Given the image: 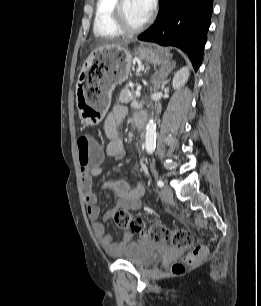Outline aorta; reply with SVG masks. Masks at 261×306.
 <instances>
[{"mask_svg": "<svg viewBox=\"0 0 261 306\" xmlns=\"http://www.w3.org/2000/svg\"><path fill=\"white\" fill-rule=\"evenodd\" d=\"M156 140V124L154 120L150 119L147 124L146 130V150L148 153H152L155 149Z\"/></svg>", "mask_w": 261, "mask_h": 306, "instance_id": "aorta-1", "label": "aorta"}]
</instances>
